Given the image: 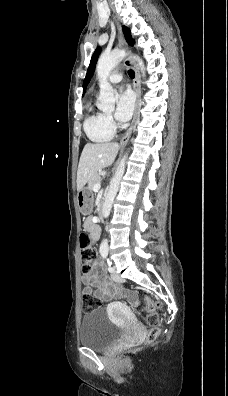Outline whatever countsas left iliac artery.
Listing matches in <instances>:
<instances>
[{"mask_svg": "<svg viewBox=\"0 0 228 396\" xmlns=\"http://www.w3.org/2000/svg\"><path fill=\"white\" fill-rule=\"evenodd\" d=\"M101 256L103 257V259L107 260L108 253H107V252H102V253H101ZM107 263H108V271H109V272H113L114 269H113V267L111 266V262H109V261L107 260Z\"/></svg>", "mask_w": 228, "mask_h": 396, "instance_id": "1", "label": "left iliac artery"}]
</instances>
